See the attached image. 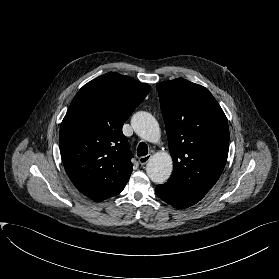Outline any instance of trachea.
I'll return each instance as SVG.
<instances>
[{"instance_id": "3493384b", "label": "trachea", "mask_w": 279, "mask_h": 279, "mask_svg": "<svg viewBox=\"0 0 279 279\" xmlns=\"http://www.w3.org/2000/svg\"><path fill=\"white\" fill-rule=\"evenodd\" d=\"M148 154V147L145 142H140L137 148V156H145Z\"/></svg>"}]
</instances>
